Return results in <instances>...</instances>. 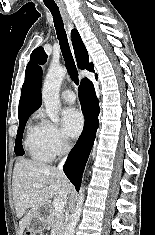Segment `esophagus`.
I'll return each mask as SVG.
<instances>
[{
    "mask_svg": "<svg viewBox=\"0 0 155 235\" xmlns=\"http://www.w3.org/2000/svg\"><path fill=\"white\" fill-rule=\"evenodd\" d=\"M61 13H62V17H63L64 23L66 25L67 31L70 33L71 30L74 28L72 20H71L70 16L68 15V13H67V11L65 9H62Z\"/></svg>",
    "mask_w": 155,
    "mask_h": 235,
    "instance_id": "34e87169",
    "label": "esophagus"
}]
</instances>
